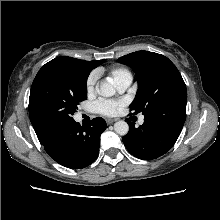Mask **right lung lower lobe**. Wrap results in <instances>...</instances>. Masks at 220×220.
Here are the masks:
<instances>
[{"instance_id": "98d812e1", "label": "right lung lower lobe", "mask_w": 220, "mask_h": 220, "mask_svg": "<svg viewBox=\"0 0 220 220\" xmlns=\"http://www.w3.org/2000/svg\"><path fill=\"white\" fill-rule=\"evenodd\" d=\"M106 129L103 118H94L87 126L74 120L54 135L39 140L45 151L56 162L71 169L90 165L98 156L100 136Z\"/></svg>"}]
</instances>
